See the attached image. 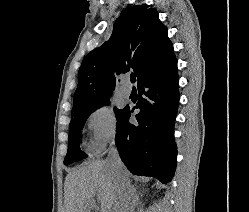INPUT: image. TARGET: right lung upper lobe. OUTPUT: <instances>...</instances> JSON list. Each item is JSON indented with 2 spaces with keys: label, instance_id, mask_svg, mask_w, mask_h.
Returning <instances> with one entry per match:
<instances>
[{
  "label": "right lung upper lobe",
  "instance_id": "obj_1",
  "mask_svg": "<svg viewBox=\"0 0 249 212\" xmlns=\"http://www.w3.org/2000/svg\"><path fill=\"white\" fill-rule=\"evenodd\" d=\"M148 7L143 4L125 8L114 24L110 40L85 56L73 109L108 98L115 88L116 75L133 70L139 83L173 56L167 28L157 10Z\"/></svg>",
  "mask_w": 249,
  "mask_h": 212
}]
</instances>
